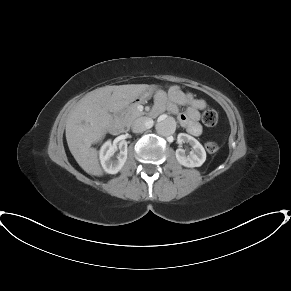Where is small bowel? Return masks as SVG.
<instances>
[{
  "label": "small bowel",
  "instance_id": "obj_1",
  "mask_svg": "<svg viewBox=\"0 0 291 291\" xmlns=\"http://www.w3.org/2000/svg\"><path fill=\"white\" fill-rule=\"evenodd\" d=\"M206 105L203 99L194 98L180 88L173 87L167 93L160 92L156 95L154 112L160 114L168 111L176 115L189 134L199 136L202 133V126L198 122L200 111ZM179 106H188L186 113L179 112Z\"/></svg>",
  "mask_w": 291,
  "mask_h": 291
}]
</instances>
